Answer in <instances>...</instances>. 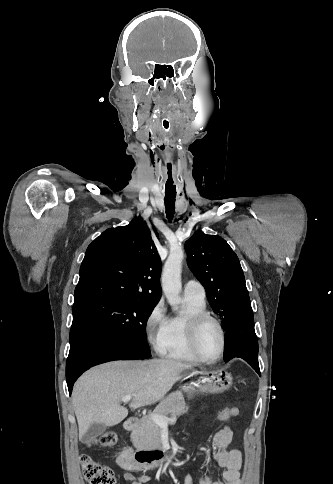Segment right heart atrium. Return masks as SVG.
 <instances>
[{
  "label": "right heart atrium",
  "mask_w": 333,
  "mask_h": 484,
  "mask_svg": "<svg viewBox=\"0 0 333 484\" xmlns=\"http://www.w3.org/2000/svg\"><path fill=\"white\" fill-rule=\"evenodd\" d=\"M166 320L164 302L159 300L148 313L144 323L146 339L156 350L160 349Z\"/></svg>",
  "instance_id": "1"
}]
</instances>
